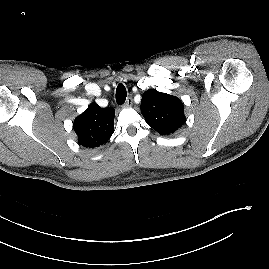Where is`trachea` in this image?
I'll return each mask as SVG.
<instances>
[{
	"label": "trachea",
	"instance_id": "obj_1",
	"mask_svg": "<svg viewBox=\"0 0 269 269\" xmlns=\"http://www.w3.org/2000/svg\"><path fill=\"white\" fill-rule=\"evenodd\" d=\"M127 97L126 88L123 84H119L116 89L117 104L122 105L125 103Z\"/></svg>",
	"mask_w": 269,
	"mask_h": 269
}]
</instances>
